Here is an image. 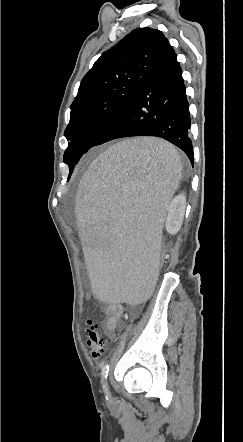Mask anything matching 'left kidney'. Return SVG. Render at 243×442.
Segmentation results:
<instances>
[{"label":"left kidney","mask_w":243,"mask_h":442,"mask_svg":"<svg viewBox=\"0 0 243 442\" xmlns=\"http://www.w3.org/2000/svg\"><path fill=\"white\" fill-rule=\"evenodd\" d=\"M186 208V198L183 194L175 196L170 202V213L165 220V228L171 235H175L181 228Z\"/></svg>","instance_id":"1"}]
</instances>
